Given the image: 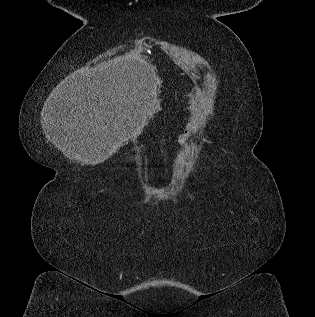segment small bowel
<instances>
[{"instance_id": "1", "label": "small bowel", "mask_w": 315, "mask_h": 317, "mask_svg": "<svg viewBox=\"0 0 315 317\" xmlns=\"http://www.w3.org/2000/svg\"><path fill=\"white\" fill-rule=\"evenodd\" d=\"M189 131H190V127H188L186 132L182 133L179 136V141H180L181 144H185L189 140V137H190V132Z\"/></svg>"}]
</instances>
